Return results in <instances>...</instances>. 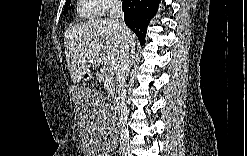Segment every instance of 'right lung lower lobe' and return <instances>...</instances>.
I'll return each instance as SVG.
<instances>
[{
  "label": "right lung lower lobe",
  "mask_w": 247,
  "mask_h": 156,
  "mask_svg": "<svg viewBox=\"0 0 247 156\" xmlns=\"http://www.w3.org/2000/svg\"><path fill=\"white\" fill-rule=\"evenodd\" d=\"M159 0H124L122 9L126 25L145 43L147 26L158 8Z\"/></svg>",
  "instance_id": "obj_1"
}]
</instances>
